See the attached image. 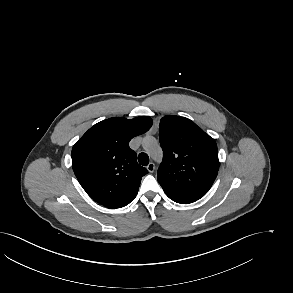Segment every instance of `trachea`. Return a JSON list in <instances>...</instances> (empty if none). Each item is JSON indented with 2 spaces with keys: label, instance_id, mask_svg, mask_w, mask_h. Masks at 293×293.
Here are the masks:
<instances>
[{
  "label": "trachea",
  "instance_id": "trachea-1",
  "mask_svg": "<svg viewBox=\"0 0 293 293\" xmlns=\"http://www.w3.org/2000/svg\"><path fill=\"white\" fill-rule=\"evenodd\" d=\"M138 161L141 165L146 166L149 163V157L146 153H140L138 156Z\"/></svg>",
  "mask_w": 293,
  "mask_h": 293
}]
</instances>
